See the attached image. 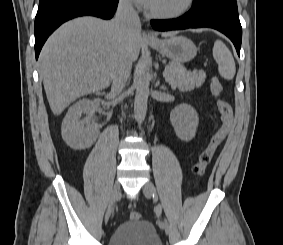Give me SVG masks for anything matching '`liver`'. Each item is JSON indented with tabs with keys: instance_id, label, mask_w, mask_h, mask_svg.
<instances>
[{
	"instance_id": "liver-1",
	"label": "liver",
	"mask_w": 283,
	"mask_h": 245,
	"mask_svg": "<svg viewBox=\"0 0 283 245\" xmlns=\"http://www.w3.org/2000/svg\"><path fill=\"white\" fill-rule=\"evenodd\" d=\"M141 44L139 28L133 31L128 48L132 61L137 60ZM125 50L114 20L79 17L59 27L39 57V73L53 114L60 115L81 96L107 88Z\"/></svg>"
}]
</instances>
